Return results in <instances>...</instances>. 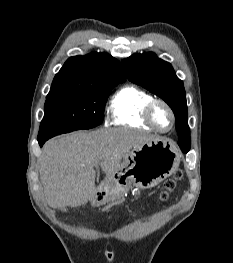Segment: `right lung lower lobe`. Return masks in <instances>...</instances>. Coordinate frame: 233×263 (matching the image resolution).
Wrapping results in <instances>:
<instances>
[{"instance_id":"obj_1","label":"right lung lower lobe","mask_w":233,"mask_h":263,"mask_svg":"<svg viewBox=\"0 0 233 263\" xmlns=\"http://www.w3.org/2000/svg\"><path fill=\"white\" fill-rule=\"evenodd\" d=\"M45 141H46V139H44V140H39L38 142H39V145L42 147V145L45 143Z\"/></svg>"}]
</instances>
